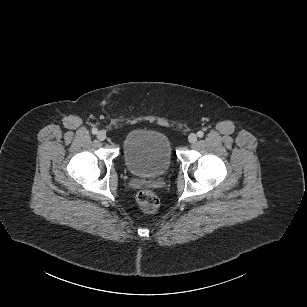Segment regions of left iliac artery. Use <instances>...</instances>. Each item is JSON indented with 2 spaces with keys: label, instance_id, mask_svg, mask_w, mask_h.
I'll use <instances>...</instances> for the list:
<instances>
[{
  "label": "left iliac artery",
  "instance_id": "44dca946",
  "mask_svg": "<svg viewBox=\"0 0 307 307\" xmlns=\"http://www.w3.org/2000/svg\"><path fill=\"white\" fill-rule=\"evenodd\" d=\"M197 136L202 138L204 136V133L202 131H198Z\"/></svg>",
  "mask_w": 307,
  "mask_h": 307
}]
</instances>
